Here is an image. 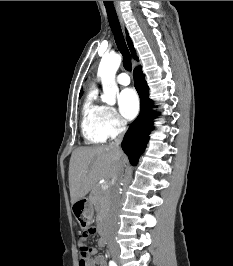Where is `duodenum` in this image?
Listing matches in <instances>:
<instances>
[{"label": "duodenum", "instance_id": "obj_1", "mask_svg": "<svg viewBox=\"0 0 233 266\" xmlns=\"http://www.w3.org/2000/svg\"><path fill=\"white\" fill-rule=\"evenodd\" d=\"M98 230L102 238L106 241V238L108 237V230L106 225L102 221L98 224Z\"/></svg>", "mask_w": 233, "mask_h": 266}]
</instances>
